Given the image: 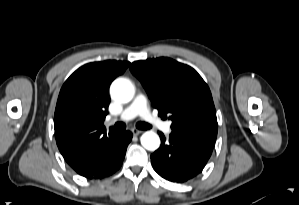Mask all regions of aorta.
I'll use <instances>...</instances> for the list:
<instances>
[{"label":"aorta","instance_id":"1","mask_svg":"<svg viewBox=\"0 0 299 205\" xmlns=\"http://www.w3.org/2000/svg\"><path fill=\"white\" fill-rule=\"evenodd\" d=\"M110 93L116 101L127 103L133 98L134 88L130 81L120 78L112 83ZM141 144L145 149L154 151L160 146V138L156 133L148 131L141 136Z\"/></svg>","mask_w":299,"mask_h":205}]
</instances>
